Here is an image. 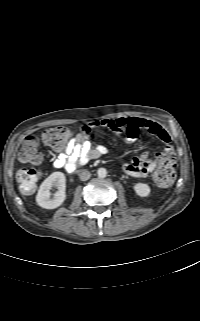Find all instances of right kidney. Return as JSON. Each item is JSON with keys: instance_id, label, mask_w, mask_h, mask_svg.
Here are the masks:
<instances>
[{"instance_id": "right-kidney-1", "label": "right kidney", "mask_w": 200, "mask_h": 321, "mask_svg": "<svg viewBox=\"0 0 200 321\" xmlns=\"http://www.w3.org/2000/svg\"><path fill=\"white\" fill-rule=\"evenodd\" d=\"M52 187L58 190L52 194ZM66 178L62 172H53L40 185L36 196L37 204L45 209H55L66 199Z\"/></svg>"}]
</instances>
